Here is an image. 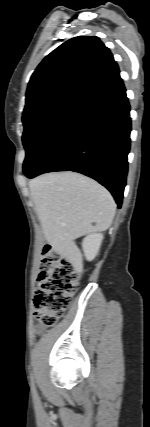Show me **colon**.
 Wrapping results in <instances>:
<instances>
[{"mask_svg":"<svg viewBox=\"0 0 150 427\" xmlns=\"http://www.w3.org/2000/svg\"><path fill=\"white\" fill-rule=\"evenodd\" d=\"M80 271L68 258L45 248L38 288L34 297V315L45 326H53L71 303L78 288Z\"/></svg>","mask_w":150,"mask_h":427,"instance_id":"colon-1","label":"colon"}]
</instances>
